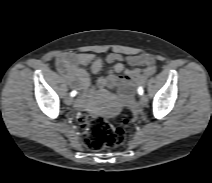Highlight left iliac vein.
Returning a JSON list of instances; mask_svg holds the SVG:
<instances>
[{
	"label": "left iliac vein",
	"instance_id": "1",
	"mask_svg": "<svg viewBox=\"0 0 212 183\" xmlns=\"http://www.w3.org/2000/svg\"><path fill=\"white\" fill-rule=\"evenodd\" d=\"M147 103H148V97L146 95H142L140 97V104H141V106L144 107V106L147 105Z\"/></svg>",
	"mask_w": 212,
	"mask_h": 183
}]
</instances>
